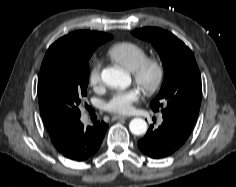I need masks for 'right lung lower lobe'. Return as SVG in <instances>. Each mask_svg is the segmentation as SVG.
I'll return each mask as SVG.
<instances>
[{"mask_svg": "<svg viewBox=\"0 0 236 187\" xmlns=\"http://www.w3.org/2000/svg\"><path fill=\"white\" fill-rule=\"evenodd\" d=\"M107 128L108 125L103 121L84 128L79 120L73 124L57 150L71 160L85 161L97 152Z\"/></svg>", "mask_w": 236, "mask_h": 187, "instance_id": "1", "label": "right lung lower lobe"}]
</instances>
